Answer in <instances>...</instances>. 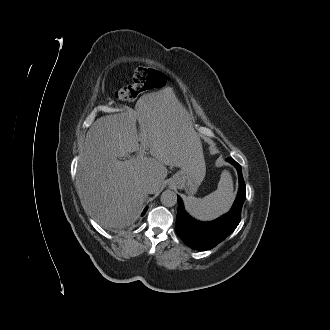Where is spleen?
<instances>
[{"label": "spleen", "mask_w": 330, "mask_h": 330, "mask_svg": "<svg viewBox=\"0 0 330 330\" xmlns=\"http://www.w3.org/2000/svg\"><path fill=\"white\" fill-rule=\"evenodd\" d=\"M234 201L233 181L230 173L224 170L217 190L203 198L188 196L185 198L187 212L202 221L213 220L229 211Z\"/></svg>", "instance_id": "1"}]
</instances>
